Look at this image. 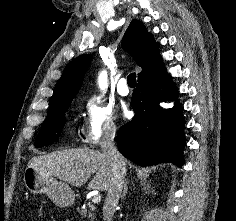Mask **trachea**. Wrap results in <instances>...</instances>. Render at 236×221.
I'll use <instances>...</instances> for the list:
<instances>
[{
  "label": "trachea",
  "instance_id": "trachea-1",
  "mask_svg": "<svg viewBox=\"0 0 236 221\" xmlns=\"http://www.w3.org/2000/svg\"><path fill=\"white\" fill-rule=\"evenodd\" d=\"M128 85L129 86H135L136 85V73L133 72L128 75L127 77Z\"/></svg>",
  "mask_w": 236,
  "mask_h": 221
}]
</instances>
